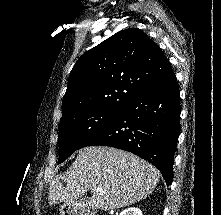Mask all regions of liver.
<instances>
[{"label":"liver","instance_id":"liver-1","mask_svg":"<svg viewBox=\"0 0 221 215\" xmlns=\"http://www.w3.org/2000/svg\"><path fill=\"white\" fill-rule=\"evenodd\" d=\"M159 178L160 173L153 165L130 152L89 146L79 151L66 172L52 180L48 203H74L90 190L93 208L116 210L147 198ZM60 180L67 185L64 186ZM98 188L102 192H98Z\"/></svg>","mask_w":221,"mask_h":215}]
</instances>
